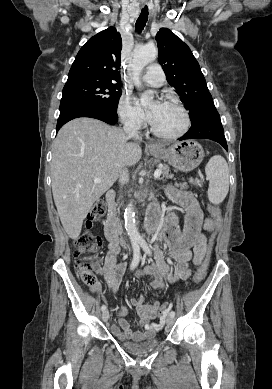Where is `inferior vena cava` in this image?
<instances>
[{"label":"inferior vena cava","instance_id":"obj_1","mask_svg":"<svg viewBox=\"0 0 272 389\" xmlns=\"http://www.w3.org/2000/svg\"><path fill=\"white\" fill-rule=\"evenodd\" d=\"M123 129H124V132L126 133L127 136L135 137V138L139 139L138 127L135 124L126 121L124 123ZM128 179H129L128 170L125 168L122 170L119 182L121 184H124L126 181H128Z\"/></svg>","mask_w":272,"mask_h":389}]
</instances>
